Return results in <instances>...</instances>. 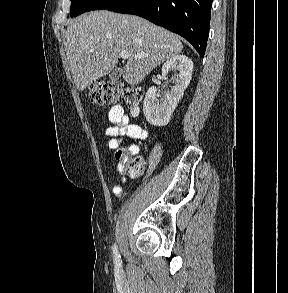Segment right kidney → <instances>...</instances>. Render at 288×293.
<instances>
[{"instance_id":"ca27d5eb","label":"right kidney","mask_w":288,"mask_h":293,"mask_svg":"<svg viewBox=\"0 0 288 293\" xmlns=\"http://www.w3.org/2000/svg\"><path fill=\"white\" fill-rule=\"evenodd\" d=\"M170 71L176 74L175 85L166 93L165 98L158 100L159 93L154 86L150 87L145 95L144 116L154 126H165L169 123L173 111L183 97L184 90L190 83L193 63L185 55L173 56L163 64L162 78H166Z\"/></svg>"}]
</instances>
